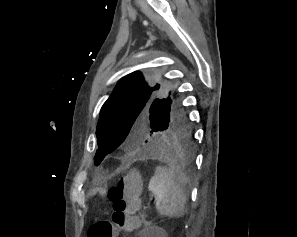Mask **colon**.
<instances>
[{
  "label": "colon",
  "instance_id": "obj_1",
  "mask_svg": "<svg viewBox=\"0 0 297 237\" xmlns=\"http://www.w3.org/2000/svg\"><path fill=\"white\" fill-rule=\"evenodd\" d=\"M140 195V178L137 173L126 174L111 186L107 196L113 207L111 219L92 224L87 237H114L119 232H132L141 225L137 214Z\"/></svg>",
  "mask_w": 297,
  "mask_h": 237
}]
</instances>
